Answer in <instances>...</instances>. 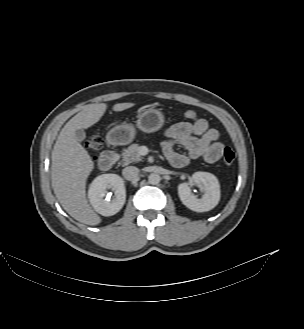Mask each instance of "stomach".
I'll return each mask as SVG.
<instances>
[{"instance_id": "1", "label": "stomach", "mask_w": 304, "mask_h": 329, "mask_svg": "<svg viewBox=\"0 0 304 329\" xmlns=\"http://www.w3.org/2000/svg\"><path fill=\"white\" fill-rule=\"evenodd\" d=\"M165 117L161 110L149 108L144 110L136 121V127L122 123L113 127L106 135V140L111 145H127L136 136V128L145 133H153L163 127Z\"/></svg>"}]
</instances>
